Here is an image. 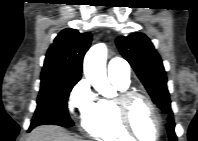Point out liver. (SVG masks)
I'll return each instance as SVG.
<instances>
[{"label":"liver","mask_w":198,"mask_h":141,"mask_svg":"<svg viewBox=\"0 0 198 141\" xmlns=\"http://www.w3.org/2000/svg\"><path fill=\"white\" fill-rule=\"evenodd\" d=\"M29 141H83L71 136L65 129L58 126H39L35 128L29 137Z\"/></svg>","instance_id":"6515ba94"}]
</instances>
